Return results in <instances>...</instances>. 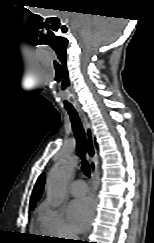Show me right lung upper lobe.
Segmentation results:
<instances>
[{
  "label": "right lung upper lobe",
  "instance_id": "1",
  "mask_svg": "<svg viewBox=\"0 0 154 243\" xmlns=\"http://www.w3.org/2000/svg\"><path fill=\"white\" fill-rule=\"evenodd\" d=\"M44 181H45L44 177L42 175H40L34 186V189H33L32 195H31L30 207H34L36 201H38L40 199L42 191H43V187H44Z\"/></svg>",
  "mask_w": 154,
  "mask_h": 243
}]
</instances>
